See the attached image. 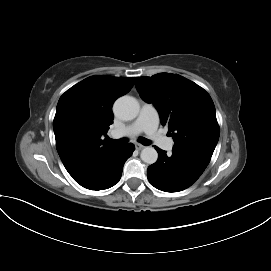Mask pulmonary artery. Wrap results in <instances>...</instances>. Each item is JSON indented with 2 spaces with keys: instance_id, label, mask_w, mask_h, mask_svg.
Segmentation results:
<instances>
[{
  "instance_id": "e3ab8cb5",
  "label": "pulmonary artery",
  "mask_w": 271,
  "mask_h": 271,
  "mask_svg": "<svg viewBox=\"0 0 271 271\" xmlns=\"http://www.w3.org/2000/svg\"><path fill=\"white\" fill-rule=\"evenodd\" d=\"M159 115L153 105L144 104L140 110L137 119L122 131H114L113 137L134 136L139 133H146L160 148L170 151L173 147L171 138L160 135L157 132Z\"/></svg>"
}]
</instances>
